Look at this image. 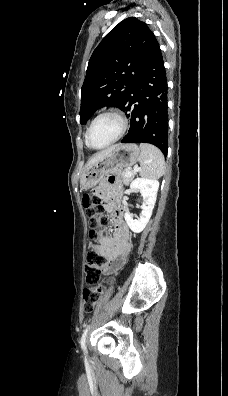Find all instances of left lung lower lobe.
<instances>
[{"label": "left lung lower lobe", "mask_w": 228, "mask_h": 396, "mask_svg": "<svg viewBox=\"0 0 228 396\" xmlns=\"http://www.w3.org/2000/svg\"><path fill=\"white\" fill-rule=\"evenodd\" d=\"M167 78L159 43L151 52L134 83L122 111L129 112V133L122 143H151L164 156L168 151Z\"/></svg>", "instance_id": "0a47b994"}]
</instances>
